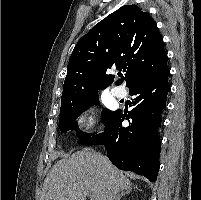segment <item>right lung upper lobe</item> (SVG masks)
Segmentation results:
<instances>
[{
    "label": "right lung upper lobe",
    "instance_id": "1",
    "mask_svg": "<svg viewBox=\"0 0 201 200\" xmlns=\"http://www.w3.org/2000/svg\"><path fill=\"white\" fill-rule=\"evenodd\" d=\"M126 71V86L151 78L167 68L163 39L150 14L125 5L96 24L76 44L67 68L62 101L98 93L114 81L109 69Z\"/></svg>",
    "mask_w": 201,
    "mask_h": 200
}]
</instances>
